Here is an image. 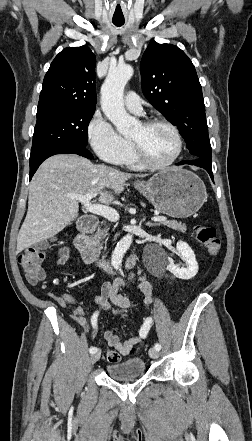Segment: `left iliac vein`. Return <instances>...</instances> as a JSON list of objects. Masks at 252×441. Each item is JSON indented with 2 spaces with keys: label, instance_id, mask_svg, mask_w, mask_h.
Returning <instances> with one entry per match:
<instances>
[{
  "label": "left iliac vein",
  "instance_id": "obj_1",
  "mask_svg": "<svg viewBox=\"0 0 252 441\" xmlns=\"http://www.w3.org/2000/svg\"><path fill=\"white\" fill-rule=\"evenodd\" d=\"M149 355L153 359H157L159 357V351L155 348L149 350Z\"/></svg>",
  "mask_w": 252,
  "mask_h": 441
}]
</instances>
